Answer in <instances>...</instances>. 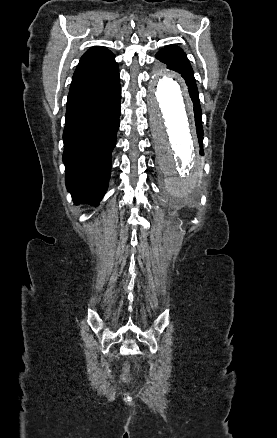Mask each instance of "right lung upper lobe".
Masks as SVG:
<instances>
[{"mask_svg": "<svg viewBox=\"0 0 277 438\" xmlns=\"http://www.w3.org/2000/svg\"><path fill=\"white\" fill-rule=\"evenodd\" d=\"M117 68L111 51L100 46L92 47L80 59L70 89L111 75Z\"/></svg>", "mask_w": 277, "mask_h": 438, "instance_id": "right-lung-upper-lobe-1", "label": "right lung upper lobe"}]
</instances>
